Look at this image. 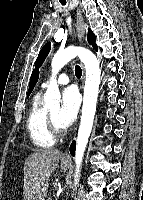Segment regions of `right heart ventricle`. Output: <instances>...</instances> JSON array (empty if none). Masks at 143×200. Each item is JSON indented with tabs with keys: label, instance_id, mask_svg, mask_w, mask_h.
<instances>
[{
	"label": "right heart ventricle",
	"instance_id": "obj_1",
	"mask_svg": "<svg viewBox=\"0 0 143 200\" xmlns=\"http://www.w3.org/2000/svg\"><path fill=\"white\" fill-rule=\"evenodd\" d=\"M47 109L42 103V93L34 95L26 120L29 138L37 148H50L55 143L47 125Z\"/></svg>",
	"mask_w": 143,
	"mask_h": 200
}]
</instances>
